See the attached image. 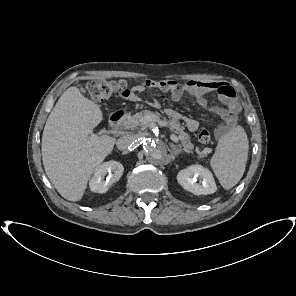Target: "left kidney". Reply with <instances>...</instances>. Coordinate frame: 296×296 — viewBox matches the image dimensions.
Returning <instances> with one entry per match:
<instances>
[{
  "label": "left kidney",
  "mask_w": 296,
  "mask_h": 296,
  "mask_svg": "<svg viewBox=\"0 0 296 296\" xmlns=\"http://www.w3.org/2000/svg\"><path fill=\"white\" fill-rule=\"evenodd\" d=\"M198 179L201 181L200 183H197ZM177 180L185 190L196 195H208L217 190L212 173L199 164L179 171Z\"/></svg>",
  "instance_id": "obj_1"
}]
</instances>
